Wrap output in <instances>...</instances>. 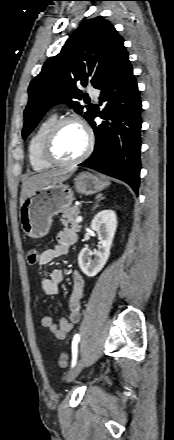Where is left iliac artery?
I'll use <instances>...</instances> for the list:
<instances>
[{
	"label": "left iliac artery",
	"instance_id": "44dca946",
	"mask_svg": "<svg viewBox=\"0 0 174 440\" xmlns=\"http://www.w3.org/2000/svg\"><path fill=\"white\" fill-rule=\"evenodd\" d=\"M79 340H80V336H79V334H76L73 338V341H72V365H71V367H74L76 365Z\"/></svg>",
	"mask_w": 174,
	"mask_h": 440
}]
</instances>
